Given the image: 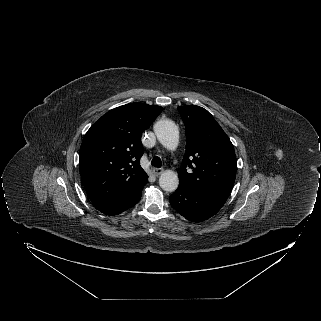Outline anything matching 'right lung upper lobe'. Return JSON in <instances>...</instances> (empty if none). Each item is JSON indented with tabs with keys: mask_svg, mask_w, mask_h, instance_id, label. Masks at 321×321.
<instances>
[{
	"mask_svg": "<svg viewBox=\"0 0 321 321\" xmlns=\"http://www.w3.org/2000/svg\"><path fill=\"white\" fill-rule=\"evenodd\" d=\"M130 103L110 110L87 131L79 153L81 179L95 207H120L141 197L148 176L140 166L141 133L162 112Z\"/></svg>",
	"mask_w": 321,
	"mask_h": 321,
	"instance_id": "1",
	"label": "right lung upper lobe"
}]
</instances>
